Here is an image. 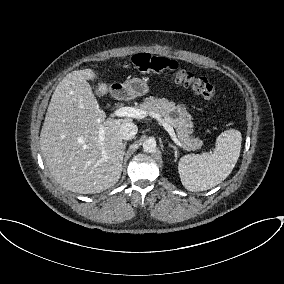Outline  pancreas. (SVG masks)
I'll return each mask as SVG.
<instances>
[{
	"instance_id": "pancreas-1",
	"label": "pancreas",
	"mask_w": 284,
	"mask_h": 284,
	"mask_svg": "<svg viewBox=\"0 0 284 284\" xmlns=\"http://www.w3.org/2000/svg\"><path fill=\"white\" fill-rule=\"evenodd\" d=\"M140 108L148 114L156 113L171 120V125L176 128L177 138L186 150H198L203 142L191 136L193 123L186 109L165 98L149 97L140 104Z\"/></svg>"
}]
</instances>
